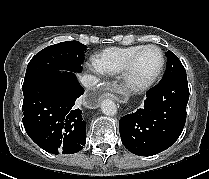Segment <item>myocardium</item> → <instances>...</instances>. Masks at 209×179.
I'll return each mask as SVG.
<instances>
[{
  "label": "myocardium",
  "mask_w": 209,
  "mask_h": 179,
  "mask_svg": "<svg viewBox=\"0 0 209 179\" xmlns=\"http://www.w3.org/2000/svg\"><path fill=\"white\" fill-rule=\"evenodd\" d=\"M150 48H154L157 49L161 55V64L159 69L157 70V72L150 78L141 81V82H136L133 80L132 78V73L135 67V64L137 62V60L139 59V57L141 56V54L146 51L147 49ZM165 54L163 52V50L157 46V45H145L144 47H142L141 49H139L130 59L129 61L126 63L125 67L123 68L122 72H121V80L122 83L124 85V87L126 88V90H128L131 93H142L144 91H147L149 88H151L153 86V84L158 80V78L161 76L164 67H165Z\"/></svg>",
  "instance_id": "f54148a6"
}]
</instances>
